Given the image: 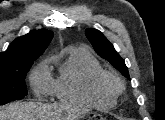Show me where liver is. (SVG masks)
<instances>
[{"instance_id": "6515ba94", "label": "liver", "mask_w": 165, "mask_h": 120, "mask_svg": "<svg viewBox=\"0 0 165 120\" xmlns=\"http://www.w3.org/2000/svg\"><path fill=\"white\" fill-rule=\"evenodd\" d=\"M64 109L67 108L36 102H16L0 107V120H52L60 117ZM79 112L77 109L68 111V120L76 118Z\"/></svg>"}]
</instances>
